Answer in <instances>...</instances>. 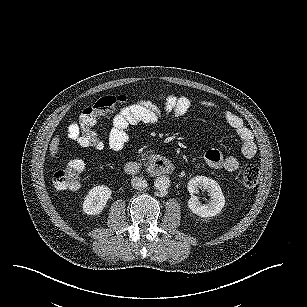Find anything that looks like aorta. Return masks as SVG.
<instances>
[{"label": "aorta", "instance_id": "1", "mask_svg": "<svg viewBox=\"0 0 307 307\" xmlns=\"http://www.w3.org/2000/svg\"><path fill=\"white\" fill-rule=\"evenodd\" d=\"M154 187L161 192H165L170 187V179L166 176H159L154 181Z\"/></svg>", "mask_w": 307, "mask_h": 307}]
</instances>
